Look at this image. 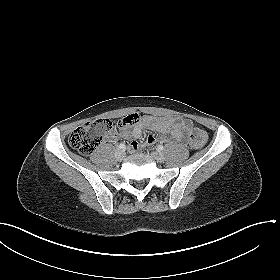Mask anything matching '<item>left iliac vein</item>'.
Instances as JSON below:
<instances>
[{
  "label": "left iliac vein",
  "instance_id": "4c4485c4",
  "mask_svg": "<svg viewBox=\"0 0 280 280\" xmlns=\"http://www.w3.org/2000/svg\"><path fill=\"white\" fill-rule=\"evenodd\" d=\"M151 156L157 161L162 163L165 160V157L162 153L154 151L151 153Z\"/></svg>",
  "mask_w": 280,
  "mask_h": 280
}]
</instances>
